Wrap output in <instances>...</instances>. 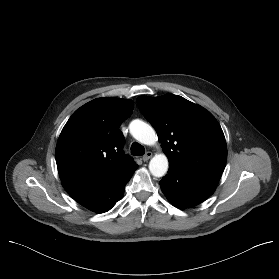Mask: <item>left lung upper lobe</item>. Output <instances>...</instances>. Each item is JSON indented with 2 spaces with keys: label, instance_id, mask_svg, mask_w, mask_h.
I'll return each mask as SVG.
<instances>
[{
  "label": "left lung upper lobe",
  "instance_id": "obj_1",
  "mask_svg": "<svg viewBox=\"0 0 279 279\" xmlns=\"http://www.w3.org/2000/svg\"><path fill=\"white\" fill-rule=\"evenodd\" d=\"M137 104L155 128L169 164L223 173L227 160L226 141L218 121L209 111L173 94L140 96Z\"/></svg>",
  "mask_w": 279,
  "mask_h": 279
}]
</instances>
